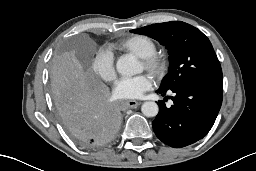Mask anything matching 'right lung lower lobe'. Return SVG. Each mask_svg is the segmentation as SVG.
<instances>
[{
  "label": "right lung lower lobe",
  "mask_w": 256,
  "mask_h": 171,
  "mask_svg": "<svg viewBox=\"0 0 256 171\" xmlns=\"http://www.w3.org/2000/svg\"><path fill=\"white\" fill-rule=\"evenodd\" d=\"M55 106L66 130L83 147L106 145L119 131L120 110L109 100V90L101 83H93Z\"/></svg>",
  "instance_id": "right-lung-lower-lobe-1"
}]
</instances>
